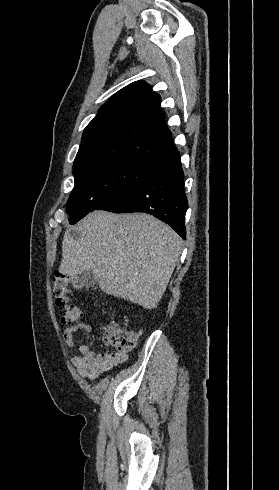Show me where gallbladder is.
<instances>
[{"mask_svg": "<svg viewBox=\"0 0 279 490\" xmlns=\"http://www.w3.org/2000/svg\"><path fill=\"white\" fill-rule=\"evenodd\" d=\"M78 282H80L81 286H86V288H94L95 284H97V278H95L92 270H89V272L79 274Z\"/></svg>", "mask_w": 279, "mask_h": 490, "instance_id": "gallbladder-1", "label": "gallbladder"}]
</instances>
